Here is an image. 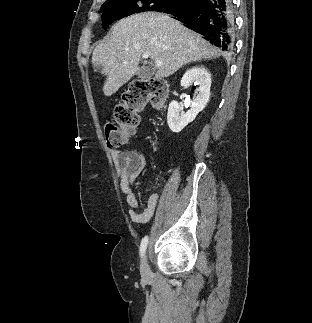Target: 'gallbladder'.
Masks as SVG:
<instances>
[{
    "label": "gallbladder",
    "instance_id": "1",
    "mask_svg": "<svg viewBox=\"0 0 312 323\" xmlns=\"http://www.w3.org/2000/svg\"><path fill=\"white\" fill-rule=\"evenodd\" d=\"M136 76H139V78H152L154 76V70H151L149 66H142V68H139L136 72Z\"/></svg>",
    "mask_w": 312,
    "mask_h": 323
}]
</instances>
